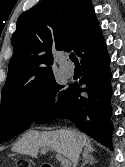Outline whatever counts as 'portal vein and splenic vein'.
I'll list each match as a JSON object with an SVG mask.
<instances>
[{
	"label": "portal vein and splenic vein",
	"instance_id": "1",
	"mask_svg": "<svg viewBox=\"0 0 125 167\" xmlns=\"http://www.w3.org/2000/svg\"><path fill=\"white\" fill-rule=\"evenodd\" d=\"M48 150V148H43L42 152H46ZM56 158L61 162L62 167H70L71 162L70 160L64 158L60 153L57 152L56 154Z\"/></svg>",
	"mask_w": 125,
	"mask_h": 167
}]
</instances>
